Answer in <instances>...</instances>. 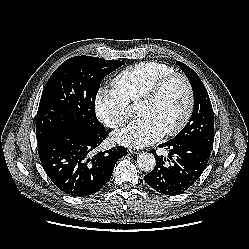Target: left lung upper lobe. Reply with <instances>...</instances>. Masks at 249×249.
I'll return each mask as SVG.
<instances>
[{"label":"left lung upper lobe","mask_w":249,"mask_h":249,"mask_svg":"<svg viewBox=\"0 0 249 249\" xmlns=\"http://www.w3.org/2000/svg\"><path fill=\"white\" fill-rule=\"evenodd\" d=\"M177 64L184 71L193 89L194 109L188 124L173 138L178 142H195L212 149L214 142V115L207 90L199 76L186 64Z\"/></svg>","instance_id":"left-lung-upper-lobe-1"}]
</instances>
